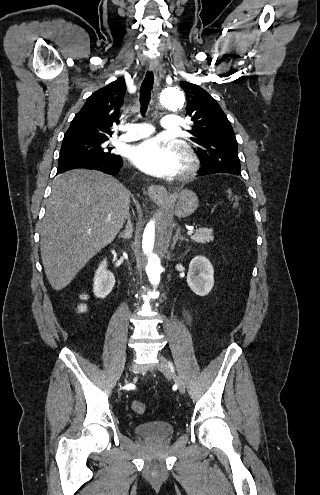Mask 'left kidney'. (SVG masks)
Returning a JSON list of instances; mask_svg holds the SVG:
<instances>
[{"instance_id": "obj_1", "label": "left kidney", "mask_w": 320, "mask_h": 495, "mask_svg": "<svg viewBox=\"0 0 320 495\" xmlns=\"http://www.w3.org/2000/svg\"><path fill=\"white\" fill-rule=\"evenodd\" d=\"M187 284L199 296H206L212 290L214 269L206 257L196 256L191 260L187 274Z\"/></svg>"}]
</instances>
